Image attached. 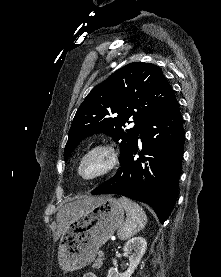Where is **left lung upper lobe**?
Returning a JSON list of instances; mask_svg holds the SVG:
<instances>
[{"mask_svg": "<svg viewBox=\"0 0 221 277\" xmlns=\"http://www.w3.org/2000/svg\"><path fill=\"white\" fill-rule=\"evenodd\" d=\"M173 99V89L158 66L133 62L118 69L94 87L78 108L69 130L65 161L80 141L105 133L121 141V163L147 123ZM126 122L135 125L125 130Z\"/></svg>", "mask_w": 221, "mask_h": 277, "instance_id": "5c2ea615", "label": "left lung upper lobe"}]
</instances>
